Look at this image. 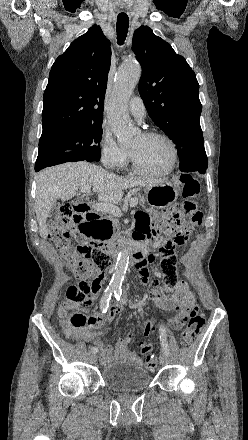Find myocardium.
I'll use <instances>...</instances> for the list:
<instances>
[{"instance_id":"obj_1","label":"myocardium","mask_w":248,"mask_h":440,"mask_svg":"<svg viewBox=\"0 0 248 440\" xmlns=\"http://www.w3.org/2000/svg\"><path fill=\"white\" fill-rule=\"evenodd\" d=\"M145 137H158V138H162L163 140H165L170 148H171V152H172V159L171 162L169 164V166L163 170V171H159V172H153V171H148L144 168H142L139 163L137 162L135 155L133 153L132 150H130V160H131V165L133 170L143 176H147V177H164L167 176L168 174H170L178 161V148L176 146V143L174 142V140L168 136L167 134L161 132V131H156V130H151V131H146L144 133H142Z\"/></svg>"}]
</instances>
